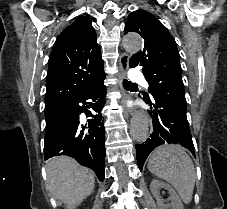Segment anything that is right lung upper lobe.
Returning a JSON list of instances; mask_svg holds the SVG:
<instances>
[{
  "label": "right lung upper lobe",
  "mask_w": 227,
  "mask_h": 209,
  "mask_svg": "<svg viewBox=\"0 0 227 209\" xmlns=\"http://www.w3.org/2000/svg\"><path fill=\"white\" fill-rule=\"evenodd\" d=\"M96 39L86 16L77 18L58 36L48 62L45 108L60 106L105 75Z\"/></svg>",
  "instance_id": "right-lung-upper-lobe-1"
}]
</instances>
